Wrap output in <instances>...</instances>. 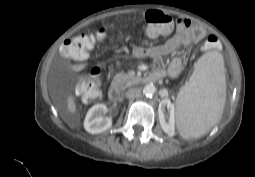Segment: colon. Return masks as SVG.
Here are the masks:
<instances>
[{"mask_svg": "<svg viewBox=\"0 0 255 177\" xmlns=\"http://www.w3.org/2000/svg\"><path fill=\"white\" fill-rule=\"evenodd\" d=\"M173 19L159 10H148L144 15V31L150 37H157L171 30ZM102 31L85 32L67 39L62 47L61 54L70 60L71 68L82 69L94 45V42L102 39ZM216 37L209 36L206 40L208 47ZM101 73L98 68H92L77 84L76 91L86 103L97 102L100 99Z\"/></svg>", "mask_w": 255, "mask_h": 177, "instance_id": "obj_1", "label": "colon"}]
</instances>
